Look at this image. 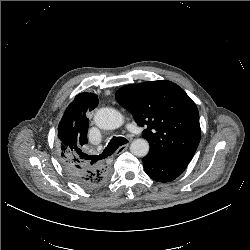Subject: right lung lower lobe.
I'll use <instances>...</instances> for the list:
<instances>
[{
  "label": "right lung lower lobe",
  "instance_id": "right-lung-lower-lobe-1",
  "mask_svg": "<svg viewBox=\"0 0 250 250\" xmlns=\"http://www.w3.org/2000/svg\"><path fill=\"white\" fill-rule=\"evenodd\" d=\"M72 180L83 188H96L104 184L110 175L109 171L96 174L90 169L72 171L65 169Z\"/></svg>",
  "mask_w": 250,
  "mask_h": 250
}]
</instances>
